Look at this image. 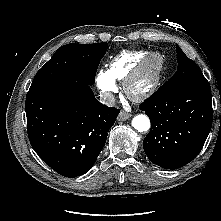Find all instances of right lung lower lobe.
I'll use <instances>...</instances> for the list:
<instances>
[{"mask_svg":"<svg viewBox=\"0 0 221 221\" xmlns=\"http://www.w3.org/2000/svg\"><path fill=\"white\" fill-rule=\"evenodd\" d=\"M25 110L33 149L65 177L92 168L119 114V109L96 100L90 85L82 82L31 90Z\"/></svg>","mask_w":221,"mask_h":221,"instance_id":"98d812e1","label":"right lung lower lobe"}]
</instances>
